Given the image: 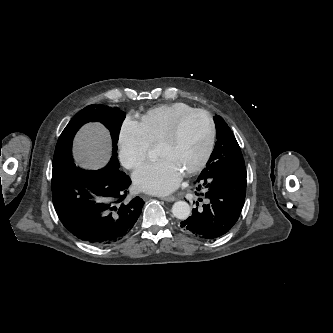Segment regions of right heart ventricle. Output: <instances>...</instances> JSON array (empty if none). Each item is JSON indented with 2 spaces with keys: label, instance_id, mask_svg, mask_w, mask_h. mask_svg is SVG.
<instances>
[{
  "label": "right heart ventricle",
  "instance_id": "right-heart-ventricle-1",
  "mask_svg": "<svg viewBox=\"0 0 333 333\" xmlns=\"http://www.w3.org/2000/svg\"><path fill=\"white\" fill-rule=\"evenodd\" d=\"M194 109L192 106L176 102L147 110L141 116V123L152 144H158L172 123L183 113Z\"/></svg>",
  "mask_w": 333,
  "mask_h": 333
}]
</instances>
